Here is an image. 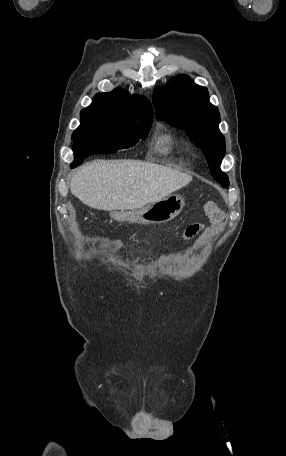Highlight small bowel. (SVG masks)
Masks as SVG:
<instances>
[{
  "mask_svg": "<svg viewBox=\"0 0 286 456\" xmlns=\"http://www.w3.org/2000/svg\"><path fill=\"white\" fill-rule=\"evenodd\" d=\"M209 215L211 216L212 218V221L214 224H220L223 220V214L220 210H212V211H208ZM206 232L205 230L203 229V227H201L200 225H193V226H190L186 229V232H185V237L187 239L189 238H192L196 235H199L198 237V241L196 243V245L194 246L193 248V251H196L200 245V243L202 242L204 236H205Z\"/></svg>",
  "mask_w": 286,
  "mask_h": 456,
  "instance_id": "1",
  "label": "small bowel"
}]
</instances>
